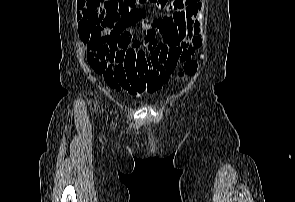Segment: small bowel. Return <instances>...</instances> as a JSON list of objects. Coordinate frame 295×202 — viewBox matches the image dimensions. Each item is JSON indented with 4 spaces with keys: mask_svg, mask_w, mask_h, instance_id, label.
<instances>
[{
    "mask_svg": "<svg viewBox=\"0 0 295 202\" xmlns=\"http://www.w3.org/2000/svg\"><path fill=\"white\" fill-rule=\"evenodd\" d=\"M77 7L86 22L107 18L101 0H77ZM151 9L155 18L135 6L132 13L114 19L108 47L89 49V65L116 90L135 95L156 92L169 78L168 67L175 69L202 43L199 0H167L153 3ZM138 25L143 34L135 38Z\"/></svg>",
    "mask_w": 295,
    "mask_h": 202,
    "instance_id": "small-bowel-1",
    "label": "small bowel"
}]
</instances>
